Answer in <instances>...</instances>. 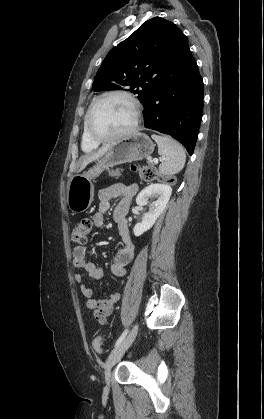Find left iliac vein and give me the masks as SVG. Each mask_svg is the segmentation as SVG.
I'll return each instance as SVG.
<instances>
[{
    "instance_id": "1",
    "label": "left iliac vein",
    "mask_w": 264,
    "mask_h": 419,
    "mask_svg": "<svg viewBox=\"0 0 264 419\" xmlns=\"http://www.w3.org/2000/svg\"><path fill=\"white\" fill-rule=\"evenodd\" d=\"M138 332V325H134L127 337L110 353L105 363V379L109 384L111 368L122 358L127 349L131 346Z\"/></svg>"
}]
</instances>
